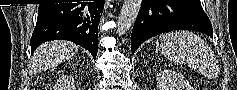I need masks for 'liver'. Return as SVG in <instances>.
Instances as JSON below:
<instances>
[{
	"instance_id": "obj_1",
	"label": "liver",
	"mask_w": 237,
	"mask_h": 90,
	"mask_svg": "<svg viewBox=\"0 0 237 90\" xmlns=\"http://www.w3.org/2000/svg\"><path fill=\"white\" fill-rule=\"evenodd\" d=\"M79 50V46L72 44V42H60V40H55V42H46L42 44L40 48H37L33 58V66L37 70H48L52 66H57L61 64L64 60H69L72 56H75Z\"/></svg>"
}]
</instances>
